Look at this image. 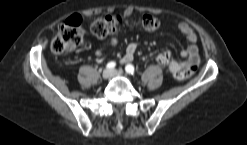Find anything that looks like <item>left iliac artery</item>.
I'll return each instance as SVG.
<instances>
[{
    "label": "left iliac artery",
    "mask_w": 247,
    "mask_h": 145,
    "mask_svg": "<svg viewBox=\"0 0 247 145\" xmlns=\"http://www.w3.org/2000/svg\"><path fill=\"white\" fill-rule=\"evenodd\" d=\"M125 70H126L127 73L132 74V75L135 72L134 66L132 64L126 65Z\"/></svg>",
    "instance_id": "1"
}]
</instances>
